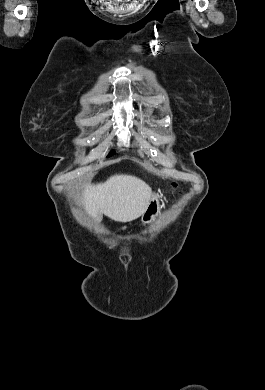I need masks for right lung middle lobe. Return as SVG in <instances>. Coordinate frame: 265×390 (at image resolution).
<instances>
[{
    "instance_id": "obj_1",
    "label": "right lung middle lobe",
    "mask_w": 265,
    "mask_h": 390,
    "mask_svg": "<svg viewBox=\"0 0 265 390\" xmlns=\"http://www.w3.org/2000/svg\"><path fill=\"white\" fill-rule=\"evenodd\" d=\"M113 154H115V151H111L108 155V157L112 156Z\"/></svg>"
}]
</instances>
